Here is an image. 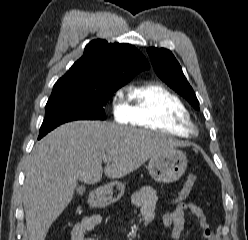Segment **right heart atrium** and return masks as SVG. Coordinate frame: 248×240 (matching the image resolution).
<instances>
[{
	"label": "right heart atrium",
	"instance_id": "d8ad5b80",
	"mask_svg": "<svg viewBox=\"0 0 248 240\" xmlns=\"http://www.w3.org/2000/svg\"><path fill=\"white\" fill-rule=\"evenodd\" d=\"M111 111L113 117L123 123L129 121V109L123 98V89H117L111 96Z\"/></svg>",
	"mask_w": 248,
	"mask_h": 240
}]
</instances>
